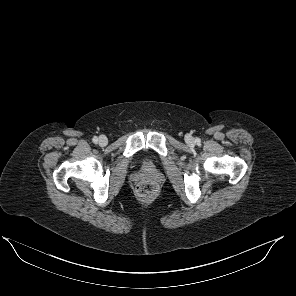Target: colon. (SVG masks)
Wrapping results in <instances>:
<instances>
[{"label":"colon","mask_w":296,"mask_h":296,"mask_svg":"<svg viewBox=\"0 0 296 296\" xmlns=\"http://www.w3.org/2000/svg\"><path fill=\"white\" fill-rule=\"evenodd\" d=\"M137 190L141 198L150 199L156 194L157 185L153 181L146 180L139 183Z\"/></svg>","instance_id":"5ec220e1"}]
</instances>
